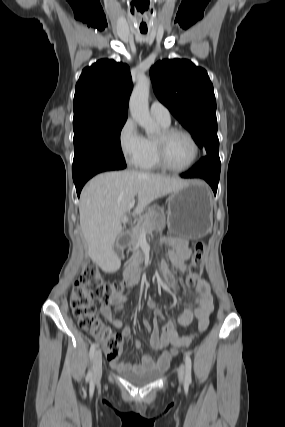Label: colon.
I'll list each match as a JSON object with an SVG mask.
<instances>
[{
	"label": "colon",
	"instance_id": "5ec220e1",
	"mask_svg": "<svg viewBox=\"0 0 285 427\" xmlns=\"http://www.w3.org/2000/svg\"><path fill=\"white\" fill-rule=\"evenodd\" d=\"M206 245L194 244V252L186 275V284L196 285L203 275ZM126 287L125 281L106 282L94 264H86L76 281L70 297V305L78 325L100 340L108 359H117L122 347L121 336L105 326L97 314L95 301L107 304L114 293Z\"/></svg>",
	"mask_w": 285,
	"mask_h": 427
}]
</instances>
